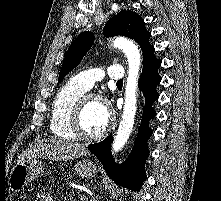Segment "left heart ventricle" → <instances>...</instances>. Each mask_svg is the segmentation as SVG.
I'll list each match as a JSON object with an SVG mask.
<instances>
[{
  "label": "left heart ventricle",
  "instance_id": "left-heart-ventricle-1",
  "mask_svg": "<svg viewBox=\"0 0 221 201\" xmlns=\"http://www.w3.org/2000/svg\"><path fill=\"white\" fill-rule=\"evenodd\" d=\"M109 123L106 107L99 101L87 104L82 116V128L88 135L100 133Z\"/></svg>",
  "mask_w": 221,
  "mask_h": 201
}]
</instances>
